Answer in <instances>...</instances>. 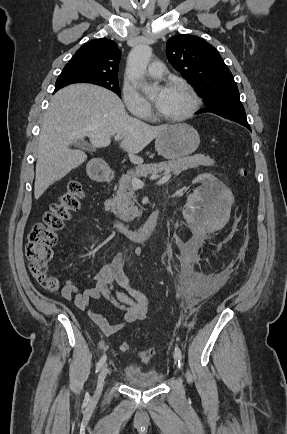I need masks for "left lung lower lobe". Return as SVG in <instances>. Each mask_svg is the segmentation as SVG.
Here are the masks:
<instances>
[{"label": "left lung lower lobe", "instance_id": "1", "mask_svg": "<svg viewBox=\"0 0 287 434\" xmlns=\"http://www.w3.org/2000/svg\"><path fill=\"white\" fill-rule=\"evenodd\" d=\"M208 111L205 110H199L197 112V114H201V113H205ZM218 114L226 119H230L232 121H235L243 126H245L246 128H248L251 131V128L247 122V118L245 116V113H239V112H232V111H226V112H220V113H215Z\"/></svg>", "mask_w": 287, "mask_h": 434}]
</instances>
